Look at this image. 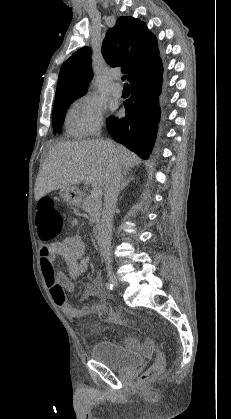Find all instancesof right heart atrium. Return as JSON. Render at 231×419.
Returning a JSON list of instances; mask_svg holds the SVG:
<instances>
[{"mask_svg": "<svg viewBox=\"0 0 231 419\" xmlns=\"http://www.w3.org/2000/svg\"><path fill=\"white\" fill-rule=\"evenodd\" d=\"M103 124V106L91 95L77 98L71 106L68 126L71 132L82 138L96 134Z\"/></svg>", "mask_w": 231, "mask_h": 419, "instance_id": "right-heart-atrium-1", "label": "right heart atrium"}]
</instances>
